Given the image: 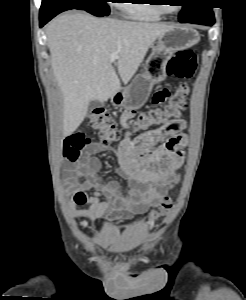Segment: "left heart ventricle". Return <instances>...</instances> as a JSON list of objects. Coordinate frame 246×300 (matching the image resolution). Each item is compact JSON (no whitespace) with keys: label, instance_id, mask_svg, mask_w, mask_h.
I'll list each match as a JSON object with an SVG mask.
<instances>
[{"label":"left heart ventricle","instance_id":"obj_1","mask_svg":"<svg viewBox=\"0 0 246 300\" xmlns=\"http://www.w3.org/2000/svg\"><path fill=\"white\" fill-rule=\"evenodd\" d=\"M167 8L171 11H174L177 9V6H174V5H170V6H167Z\"/></svg>","mask_w":246,"mask_h":300}]
</instances>
